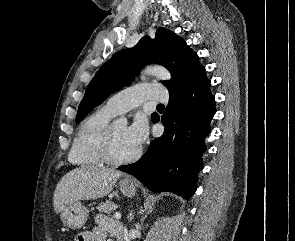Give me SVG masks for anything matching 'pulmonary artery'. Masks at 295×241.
Wrapping results in <instances>:
<instances>
[{"instance_id": "pulmonary-artery-1", "label": "pulmonary artery", "mask_w": 295, "mask_h": 241, "mask_svg": "<svg viewBox=\"0 0 295 241\" xmlns=\"http://www.w3.org/2000/svg\"><path fill=\"white\" fill-rule=\"evenodd\" d=\"M145 100L166 102L168 92L164 85L143 83L127 88L110 97L105 106L116 114H122L139 106Z\"/></svg>"}]
</instances>
